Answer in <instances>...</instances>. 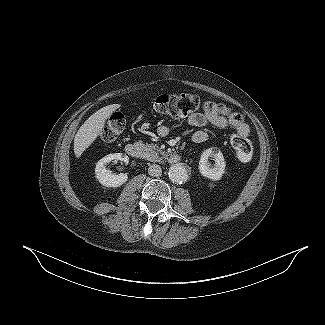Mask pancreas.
<instances>
[{"label":"pancreas","mask_w":325,"mask_h":325,"mask_svg":"<svg viewBox=\"0 0 325 325\" xmlns=\"http://www.w3.org/2000/svg\"><path fill=\"white\" fill-rule=\"evenodd\" d=\"M142 147L144 150L143 157L149 161L161 162L163 158L167 157V153L156 144H143Z\"/></svg>","instance_id":"obj_1"}]
</instances>
